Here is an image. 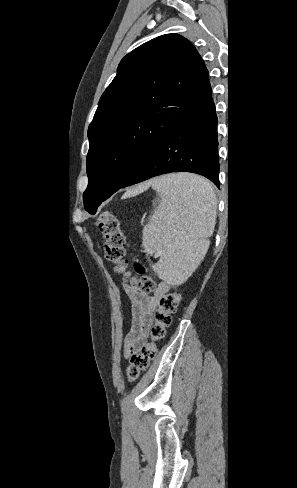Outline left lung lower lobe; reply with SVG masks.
<instances>
[{"instance_id":"obj_1","label":"left lung lower lobe","mask_w":297,"mask_h":488,"mask_svg":"<svg viewBox=\"0 0 297 488\" xmlns=\"http://www.w3.org/2000/svg\"><path fill=\"white\" fill-rule=\"evenodd\" d=\"M217 146V116L211 99L168 134L122 187L178 171L203 175L219 187Z\"/></svg>"}]
</instances>
